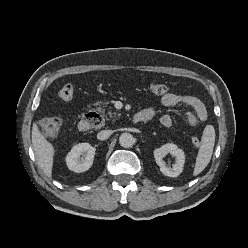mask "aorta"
<instances>
[{
  "label": "aorta",
  "mask_w": 248,
  "mask_h": 248,
  "mask_svg": "<svg viewBox=\"0 0 248 248\" xmlns=\"http://www.w3.org/2000/svg\"><path fill=\"white\" fill-rule=\"evenodd\" d=\"M134 142V137L130 133H122L119 137V144L123 148H129L133 146Z\"/></svg>",
  "instance_id": "762f6f07"
}]
</instances>
